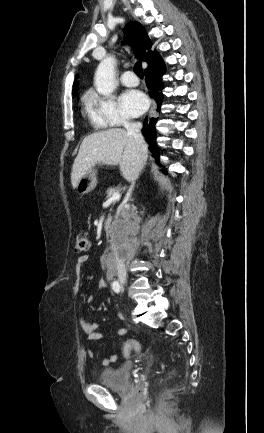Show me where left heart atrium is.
Segmentation results:
<instances>
[{
	"mask_svg": "<svg viewBox=\"0 0 264 433\" xmlns=\"http://www.w3.org/2000/svg\"><path fill=\"white\" fill-rule=\"evenodd\" d=\"M120 103L124 112L131 117L141 115L148 106V101L144 94L136 90L125 92L121 96Z\"/></svg>",
	"mask_w": 264,
	"mask_h": 433,
	"instance_id": "obj_1",
	"label": "left heart atrium"
}]
</instances>
